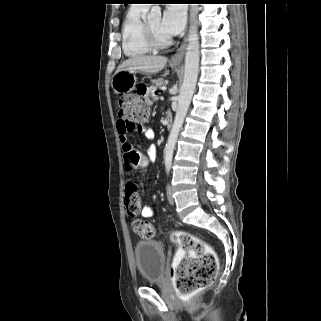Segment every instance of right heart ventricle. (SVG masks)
Returning <instances> with one entry per match:
<instances>
[{
    "mask_svg": "<svg viewBox=\"0 0 321 321\" xmlns=\"http://www.w3.org/2000/svg\"><path fill=\"white\" fill-rule=\"evenodd\" d=\"M148 6L132 5L124 18L121 29V44L124 54L130 58L144 56L151 52L143 37V14Z\"/></svg>",
    "mask_w": 321,
    "mask_h": 321,
    "instance_id": "e07e8e85",
    "label": "right heart ventricle"
}]
</instances>
